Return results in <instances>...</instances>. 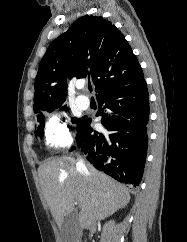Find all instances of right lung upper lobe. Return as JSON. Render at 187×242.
Here are the masks:
<instances>
[{"mask_svg":"<svg viewBox=\"0 0 187 242\" xmlns=\"http://www.w3.org/2000/svg\"><path fill=\"white\" fill-rule=\"evenodd\" d=\"M143 76L142 68L124 35L108 20L85 15L48 47L35 80L34 112L60 107L67 82L92 79L96 97Z\"/></svg>","mask_w":187,"mask_h":242,"instance_id":"cb5924a9","label":"right lung upper lobe"}]
</instances>
